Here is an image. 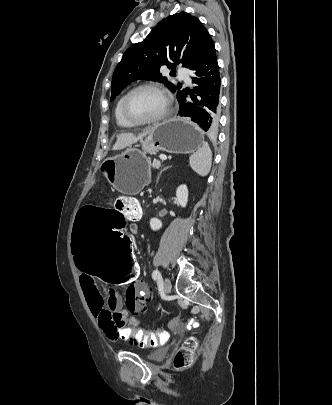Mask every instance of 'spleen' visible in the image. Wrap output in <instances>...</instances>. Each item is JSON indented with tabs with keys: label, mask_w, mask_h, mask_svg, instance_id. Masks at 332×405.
Listing matches in <instances>:
<instances>
[{
	"label": "spleen",
	"mask_w": 332,
	"mask_h": 405,
	"mask_svg": "<svg viewBox=\"0 0 332 405\" xmlns=\"http://www.w3.org/2000/svg\"><path fill=\"white\" fill-rule=\"evenodd\" d=\"M190 167L200 176H206L211 169L212 152L207 142H203L194 154L189 158Z\"/></svg>",
	"instance_id": "1"
}]
</instances>
